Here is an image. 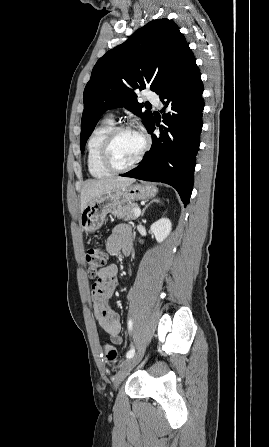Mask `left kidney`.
I'll use <instances>...</instances> for the list:
<instances>
[{
  "instance_id": "obj_1",
  "label": "left kidney",
  "mask_w": 269,
  "mask_h": 447,
  "mask_svg": "<svg viewBox=\"0 0 269 447\" xmlns=\"http://www.w3.org/2000/svg\"><path fill=\"white\" fill-rule=\"evenodd\" d=\"M152 233H154L157 241H164L166 239L167 235H169L172 224L168 218H161V220H158V222H154V224L150 227Z\"/></svg>"
}]
</instances>
